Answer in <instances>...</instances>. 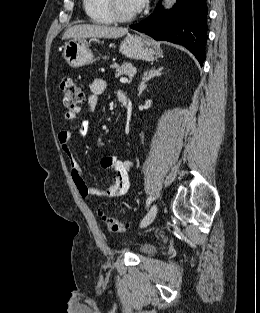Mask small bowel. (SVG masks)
<instances>
[{"instance_id": "c3829d8e", "label": "small bowel", "mask_w": 260, "mask_h": 313, "mask_svg": "<svg viewBox=\"0 0 260 313\" xmlns=\"http://www.w3.org/2000/svg\"><path fill=\"white\" fill-rule=\"evenodd\" d=\"M105 82L102 79H96L90 85L91 94L88 98V110L93 111L98 104V96L104 91ZM127 97L124 91L119 93V98ZM80 109L76 108L69 110L64 114V119L67 122L74 121L79 114ZM90 127V121L85 120L81 124L80 128L74 133L72 130H62L58 133V143L66 156L69 167L71 169V175L74 185L78 193L83 198L97 197V198H118L123 196L130 184V170L132 163L128 160H122L117 155L111 154L104 156L101 161V167L105 169H112L115 173L113 184L106 188L100 189L98 187L90 186L83 178L82 170L79 162L74 156L71 149L70 142L74 134L79 136L85 135Z\"/></svg>"}]
</instances>
